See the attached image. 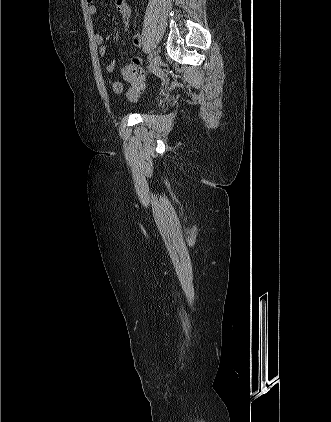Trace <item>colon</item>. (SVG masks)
Instances as JSON below:
<instances>
[{
	"instance_id": "colon-1",
	"label": "colon",
	"mask_w": 331,
	"mask_h": 422,
	"mask_svg": "<svg viewBox=\"0 0 331 422\" xmlns=\"http://www.w3.org/2000/svg\"><path fill=\"white\" fill-rule=\"evenodd\" d=\"M123 75L125 76H133L137 78H142L144 76L143 70L139 67L133 66L131 64L125 66L123 68ZM130 94H132L130 92Z\"/></svg>"
}]
</instances>
